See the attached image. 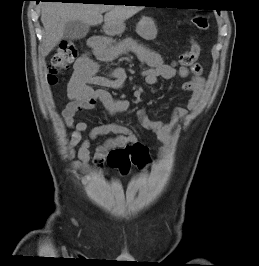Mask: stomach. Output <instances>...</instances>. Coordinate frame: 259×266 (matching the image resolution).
I'll return each instance as SVG.
<instances>
[{"label":"stomach","mask_w":259,"mask_h":266,"mask_svg":"<svg viewBox=\"0 0 259 266\" xmlns=\"http://www.w3.org/2000/svg\"><path fill=\"white\" fill-rule=\"evenodd\" d=\"M124 29V23H118L108 27L107 33L110 35L120 34ZM137 33L146 40L154 39L157 35V28L154 21L151 18H143L137 25Z\"/></svg>","instance_id":"stomach-1"}]
</instances>
